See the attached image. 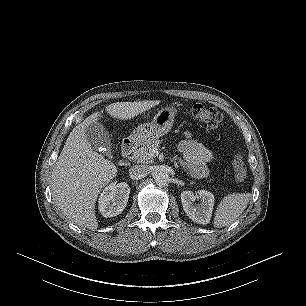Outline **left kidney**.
<instances>
[{
  "label": "left kidney",
  "instance_id": "obj_1",
  "mask_svg": "<svg viewBox=\"0 0 306 306\" xmlns=\"http://www.w3.org/2000/svg\"><path fill=\"white\" fill-rule=\"evenodd\" d=\"M180 197L185 213L193 222L203 225L210 222L215 201L211 192L200 190L195 194L192 191H183ZM196 199L201 200L200 205L193 203Z\"/></svg>",
  "mask_w": 306,
  "mask_h": 306
}]
</instances>
